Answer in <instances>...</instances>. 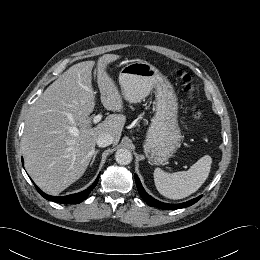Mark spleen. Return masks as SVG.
Returning a JSON list of instances; mask_svg holds the SVG:
<instances>
[{
  "label": "spleen",
  "instance_id": "obj_1",
  "mask_svg": "<svg viewBox=\"0 0 260 260\" xmlns=\"http://www.w3.org/2000/svg\"><path fill=\"white\" fill-rule=\"evenodd\" d=\"M212 158L205 155L193 164L187 171L172 174L160 168L154 170V182L157 190L163 196L177 200L195 193L208 178Z\"/></svg>",
  "mask_w": 260,
  "mask_h": 260
}]
</instances>
